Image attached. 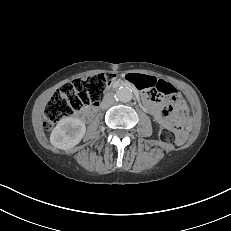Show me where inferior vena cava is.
Listing matches in <instances>:
<instances>
[{"mask_svg":"<svg viewBox=\"0 0 231 231\" xmlns=\"http://www.w3.org/2000/svg\"><path fill=\"white\" fill-rule=\"evenodd\" d=\"M115 102L114 97L112 95H107L104 98L103 101V108H107L110 107L111 105H113Z\"/></svg>","mask_w":231,"mask_h":231,"instance_id":"obj_1","label":"inferior vena cava"}]
</instances>
